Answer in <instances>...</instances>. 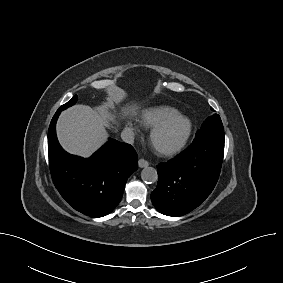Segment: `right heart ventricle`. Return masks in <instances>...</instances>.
<instances>
[{"label":"right heart ventricle","instance_id":"obj_1","mask_svg":"<svg viewBox=\"0 0 283 283\" xmlns=\"http://www.w3.org/2000/svg\"><path fill=\"white\" fill-rule=\"evenodd\" d=\"M178 113L176 109L168 106H156L145 109L140 116V122L145 128H152L164 118Z\"/></svg>","mask_w":283,"mask_h":283}]
</instances>
